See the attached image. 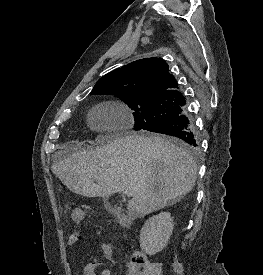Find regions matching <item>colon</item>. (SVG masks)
<instances>
[{
  "label": "colon",
  "instance_id": "obj_1",
  "mask_svg": "<svg viewBox=\"0 0 263 275\" xmlns=\"http://www.w3.org/2000/svg\"><path fill=\"white\" fill-rule=\"evenodd\" d=\"M70 216L74 222L78 223L83 220L84 211L80 208H74L71 210ZM131 264L135 266L138 270H140L143 275L157 274V265L149 262L146 256L139 251H134L131 259Z\"/></svg>",
  "mask_w": 263,
  "mask_h": 275
}]
</instances>
